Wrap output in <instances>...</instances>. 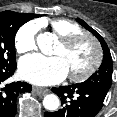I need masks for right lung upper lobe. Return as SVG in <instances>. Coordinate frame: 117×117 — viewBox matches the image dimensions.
I'll return each instance as SVG.
<instances>
[{"label": "right lung upper lobe", "mask_w": 117, "mask_h": 117, "mask_svg": "<svg viewBox=\"0 0 117 117\" xmlns=\"http://www.w3.org/2000/svg\"><path fill=\"white\" fill-rule=\"evenodd\" d=\"M26 16L28 17L29 20L33 19V18H36L39 16V14H26Z\"/></svg>", "instance_id": "cb5924a9"}]
</instances>
